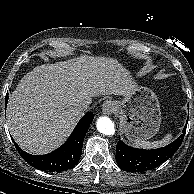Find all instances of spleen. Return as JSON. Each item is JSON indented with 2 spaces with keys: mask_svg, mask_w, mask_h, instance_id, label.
Instances as JSON below:
<instances>
[{
  "mask_svg": "<svg viewBox=\"0 0 194 194\" xmlns=\"http://www.w3.org/2000/svg\"><path fill=\"white\" fill-rule=\"evenodd\" d=\"M171 139H172V135L166 134V136L162 140L149 142V141H144L142 139H136L134 140V144L142 148H156L169 143Z\"/></svg>",
  "mask_w": 194,
  "mask_h": 194,
  "instance_id": "1",
  "label": "spleen"
}]
</instances>
